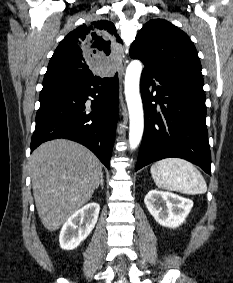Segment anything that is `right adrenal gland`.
Segmentation results:
<instances>
[{
    "label": "right adrenal gland",
    "instance_id": "right-adrenal-gland-1",
    "mask_svg": "<svg viewBox=\"0 0 233 283\" xmlns=\"http://www.w3.org/2000/svg\"><path fill=\"white\" fill-rule=\"evenodd\" d=\"M100 186H101L102 189L104 188V178H103V175L101 176Z\"/></svg>",
    "mask_w": 233,
    "mask_h": 283
}]
</instances>
